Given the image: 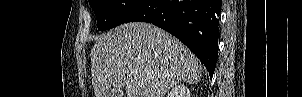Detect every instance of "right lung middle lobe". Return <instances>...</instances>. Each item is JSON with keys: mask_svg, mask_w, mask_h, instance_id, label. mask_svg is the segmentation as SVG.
<instances>
[{"mask_svg": "<svg viewBox=\"0 0 302 97\" xmlns=\"http://www.w3.org/2000/svg\"><path fill=\"white\" fill-rule=\"evenodd\" d=\"M96 19L98 30L121 24L126 15L142 0H88Z\"/></svg>", "mask_w": 302, "mask_h": 97, "instance_id": "obj_1", "label": "right lung middle lobe"}]
</instances>
